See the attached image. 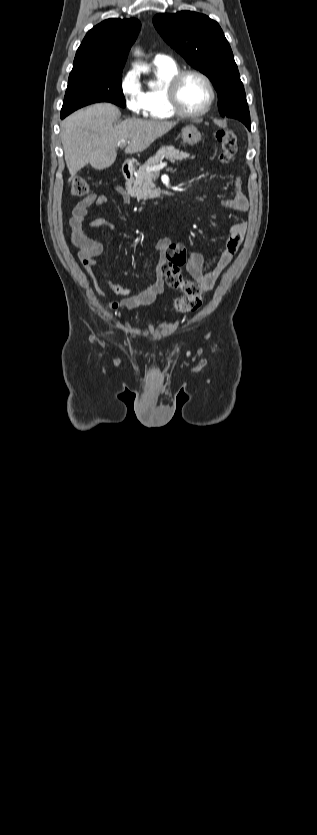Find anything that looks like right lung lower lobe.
I'll return each mask as SVG.
<instances>
[{
  "label": "right lung lower lobe",
  "instance_id": "1",
  "mask_svg": "<svg viewBox=\"0 0 317 835\" xmlns=\"http://www.w3.org/2000/svg\"><path fill=\"white\" fill-rule=\"evenodd\" d=\"M66 116H67V115H63V114H61V118H62V119H63L64 117H66Z\"/></svg>",
  "mask_w": 317,
  "mask_h": 835
}]
</instances>
